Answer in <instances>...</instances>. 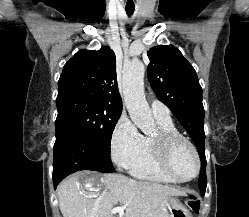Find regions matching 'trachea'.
Instances as JSON below:
<instances>
[{"label":"trachea","instance_id":"obj_1","mask_svg":"<svg viewBox=\"0 0 249 217\" xmlns=\"http://www.w3.org/2000/svg\"><path fill=\"white\" fill-rule=\"evenodd\" d=\"M126 13L128 16H131L134 13L135 6H126Z\"/></svg>","mask_w":249,"mask_h":217}]
</instances>
